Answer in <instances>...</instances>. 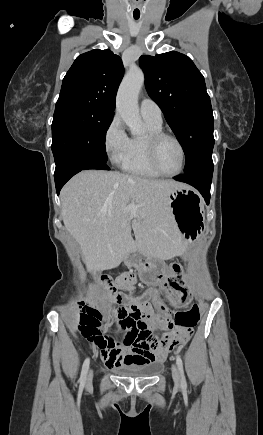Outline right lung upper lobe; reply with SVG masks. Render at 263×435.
<instances>
[{"label": "right lung upper lobe", "mask_w": 263, "mask_h": 435, "mask_svg": "<svg viewBox=\"0 0 263 435\" xmlns=\"http://www.w3.org/2000/svg\"><path fill=\"white\" fill-rule=\"evenodd\" d=\"M123 73L121 58L108 49L79 55L62 81L56 107L84 104L114 113Z\"/></svg>", "instance_id": "obj_1"}]
</instances>
